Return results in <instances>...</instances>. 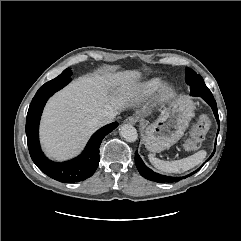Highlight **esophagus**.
I'll list each match as a JSON object with an SVG mask.
<instances>
[{
    "label": "esophagus",
    "instance_id": "esophagus-1",
    "mask_svg": "<svg viewBox=\"0 0 241 241\" xmlns=\"http://www.w3.org/2000/svg\"><path fill=\"white\" fill-rule=\"evenodd\" d=\"M137 122V119L135 117H128L125 119V123L130 124V125H135Z\"/></svg>",
    "mask_w": 241,
    "mask_h": 241
}]
</instances>
